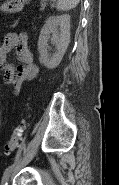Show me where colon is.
Here are the masks:
<instances>
[{"instance_id":"colon-1","label":"colon","mask_w":119,"mask_h":185,"mask_svg":"<svg viewBox=\"0 0 119 185\" xmlns=\"http://www.w3.org/2000/svg\"><path fill=\"white\" fill-rule=\"evenodd\" d=\"M25 128H26L25 122L19 123L14 128L11 136L9 137V139L7 140V142L5 144V150L8 154H11L18 149Z\"/></svg>"}]
</instances>
